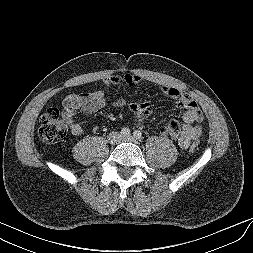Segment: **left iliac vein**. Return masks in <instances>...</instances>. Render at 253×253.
<instances>
[{
    "mask_svg": "<svg viewBox=\"0 0 253 253\" xmlns=\"http://www.w3.org/2000/svg\"><path fill=\"white\" fill-rule=\"evenodd\" d=\"M121 141L137 143V140L133 136L122 137Z\"/></svg>",
    "mask_w": 253,
    "mask_h": 253,
    "instance_id": "1",
    "label": "left iliac vein"
}]
</instances>
